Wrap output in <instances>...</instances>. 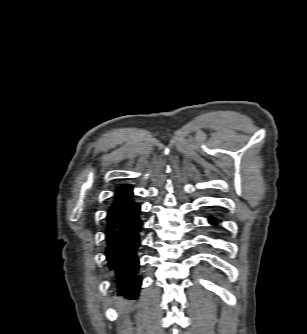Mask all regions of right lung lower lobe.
Wrapping results in <instances>:
<instances>
[{"mask_svg": "<svg viewBox=\"0 0 307 334\" xmlns=\"http://www.w3.org/2000/svg\"><path fill=\"white\" fill-rule=\"evenodd\" d=\"M132 188L128 185L117 189L106 217L105 250L108 267L119 295L136 298L141 277L137 275L140 246V205L132 199Z\"/></svg>", "mask_w": 307, "mask_h": 334, "instance_id": "right-lung-lower-lobe-1", "label": "right lung lower lobe"}]
</instances>
